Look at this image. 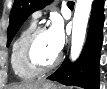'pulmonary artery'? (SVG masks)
<instances>
[{
  "mask_svg": "<svg viewBox=\"0 0 107 89\" xmlns=\"http://www.w3.org/2000/svg\"><path fill=\"white\" fill-rule=\"evenodd\" d=\"M41 16V11H36L34 14H33V20L34 21H37Z\"/></svg>",
  "mask_w": 107,
  "mask_h": 89,
  "instance_id": "pulmonary-artery-1",
  "label": "pulmonary artery"
}]
</instances>
